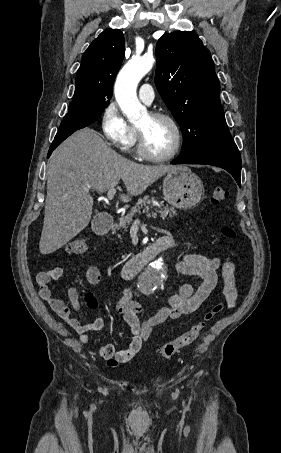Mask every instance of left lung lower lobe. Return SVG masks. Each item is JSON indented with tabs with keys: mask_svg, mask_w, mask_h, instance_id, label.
Returning <instances> with one entry per match:
<instances>
[{
	"mask_svg": "<svg viewBox=\"0 0 281 453\" xmlns=\"http://www.w3.org/2000/svg\"><path fill=\"white\" fill-rule=\"evenodd\" d=\"M172 164H206L227 170L240 186L241 156L236 145L214 149L196 155L180 156Z\"/></svg>",
	"mask_w": 281,
	"mask_h": 453,
	"instance_id": "1",
	"label": "left lung lower lobe"
}]
</instances>
